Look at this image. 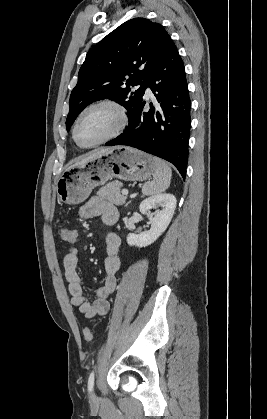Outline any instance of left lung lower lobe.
<instances>
[{"mask_svg": "<svg viewBox=\"0 0 267 419\" xmlns=\"http://www.w3.org/2000/svg\"><path fill=\"white\" fill-rule=\"evenodd\" d=\"M145 86L150 87L157 104L150 103L147 110L142 99L129 116V125L124 132L106 145H127L163 158L174 164L185 178L191 100L185 67L172 40L148 75Z\"/></svg>", "mask_w": 267, "mask_h": 419, "instance_id": "obj_1", "label": "left lung lower lobe"}]
</instances>
